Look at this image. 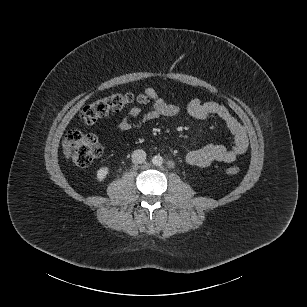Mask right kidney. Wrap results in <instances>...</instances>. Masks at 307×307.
<instances>
[{
	"mask_svg": "<svg viewBox=\"0 0 307 307\" xmlns=\"http://www.w3.org/2000/svg\"><path fill=\"white\" fill-rule=\"evenodd\" d=\"M109 172H110V169L108 167H106V166L100 167L96 171V180H97V182H99V183L104 182L107 179Z\"/></svg>",
	"mask_w": 307,
	"mask_h": 307,
	"instance_id": "1",
	"label": "right kidney"
}]
</instances>
